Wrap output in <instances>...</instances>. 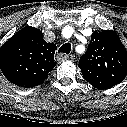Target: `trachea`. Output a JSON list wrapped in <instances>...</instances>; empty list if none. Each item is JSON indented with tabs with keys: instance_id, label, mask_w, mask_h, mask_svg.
Here are the masks:
<instances>
[{
	"instance_id": "3493384b",
	"label": "trachea",
	"mask_w": 127,
	"mask_h": 127,
	"mask_svg": "<svg viewBox=\"0 0 127 127\" xmlns=\"http://www.w3.org/2000/svg\"><path fill=\"white\" fill-rule=\"evenodd\" d=\"M70 51H71V44H70V43H65V44H63V45L59 48V50H58V52H62V53H66V54H69Z\"/></svg>"
}]
</instances>
